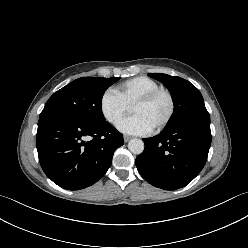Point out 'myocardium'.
I'll use <instances>...</instances> for the list:
<instances>
[{"mask_svg":"<svg viewBox=\"0 0 248 248\" xmlns=\"http://www.w3.org/2000/svg\"><path fill=\"white\" fill-rule=\"evenodd\" d=\"M160 95H165L168 98L169 111L165 119L157 127L152 129L154 133H157L163 130L170 123V121L172 120L174 116L176 106H175V99H174L173 94L167 89L158 88L142 96L141 98H139L132 106L133 108L138 105H145V104L151 103L153 100H155Z\"/></svg>","mask_w":248,"mask_h":248,"instance_id":"1","label":"myocardium"}]
</instances>
